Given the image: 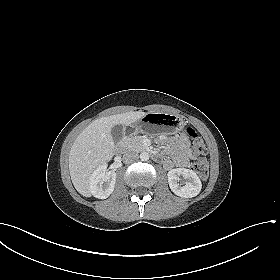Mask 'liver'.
<instances>
[{
    "instance_id": "1",
    "label": "liver",
    "mask_w": 280,
    "mask_h": 280,
    "mask_svg": "<svg viewBox=\"0 0 280 280\" xmlns=\"http://www.w3.org/2000/svg\"><path fill=\"white\" fill-rule=\"evenodd\" d=\"M146 114L131 111L101 117L91 122L75 139L69 152V171L75 189L90 197V177L96 168L110 161L115 143L111 129L115 125L130 126Z\"/></svg>"
}]
</instances>
